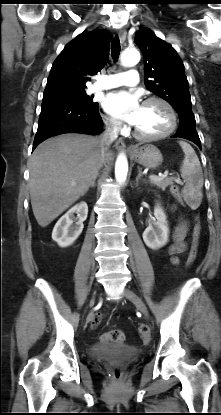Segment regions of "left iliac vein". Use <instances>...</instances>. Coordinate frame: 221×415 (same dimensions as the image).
Masks as SVG:
<instances>
[{"mask_svg": "<svg viewBox=\"0 0 221 415\" xmlns=\"http://www.w3.org/2000/svg\"><path fill=\"white\" fill-rule=\"evenodd\" d=\"M124 295L135 304V306L138 308V310L145 316L148 317V310L145 305V303L142 301V299L136 295L132 290L125 288L124 289Z\"/></svg>", "mask_w": 221, "mask_h": 415, "instance_id": "obj_1", "label": "left iliac vein"}]
</instances>
